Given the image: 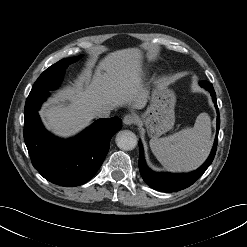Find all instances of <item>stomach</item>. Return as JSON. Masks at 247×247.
Listing matches in <instances>:
<instances>
[{
	"mask_svg": "<svg viewBox=\"0 0 247 247\" xmlns=\"http://www.w3.org/2000/svg\"><path fill=\"white\" fill-rule=\"evenodd\" d=\"M175 103L174 91L164 83H157L151 93L150 105L141 116L151 137H158L173 127Z\"/></svg>",
	"mask_w": 247,
	"mask_h": 247,
	"instance_id": "0dacf381",
	"label": "stomach"
}]
</instances>
